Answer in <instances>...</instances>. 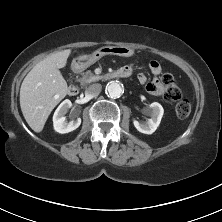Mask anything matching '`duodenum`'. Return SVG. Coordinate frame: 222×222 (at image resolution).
Masks as SVG:
<instances>
[{
  "instance_id": "410a0bca",
  "label": "duodenum",
  "mask_w": 222,
  "mask_h": 222,
  "mask_svg": "<svg viewBox=\"0 0 222 222\" xmlns=\"http://www.w3.org/2000/svg\"><path fill=\"white\" fill-rule=\"evenodd\" d=\"M79 70H80L79 66H74V68H73L74 73L79 72ZM130 74H131V72H130L129 69L120 68V69L112 72L110 74V77H112V78H124V77H128ZM78 92H79V88L76 85L73 84V85L69 86L68 93L71 96H76L78 94Z\"/></svg>"
}]
</instances>
